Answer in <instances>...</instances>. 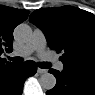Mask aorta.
Returning <instances> with one entry per match:
<instances>
[{"mask_svg": "<svg viewBox=\"0 0 95 95\" xmlns=\"http://www.w3.org/2000/svg\"><path fill=\"white\" fill-rule=\"evenodd\" d=\"M14 36L21 42H27L32 37V29L27 24H20L14 30ZM40 85L45 90H51L56 85V78L51 73H44L39 79Z\"/></svg>", "mask_w": 95, "mask_h": 95, "instance_id": "aorta-1", "label": "aorta"}]
</instances>
